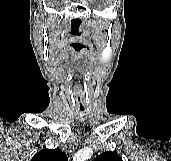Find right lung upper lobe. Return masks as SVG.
<instances>
[{"label":"right lung upper lobe","instance_id":"right-lung-upper-lobe-1","mask_svg":"<svg viewBox=\"0 0 171 161\" xmlns=\"http://www.w3.org/2000/svg\"><path fill=\"white\" fill-rule=\"evenodd\" d=\"M31 161H67V156L60 149H43L34 155Z\"/></svg>","mask_w":171,"mask_h":161}]
</instances>
